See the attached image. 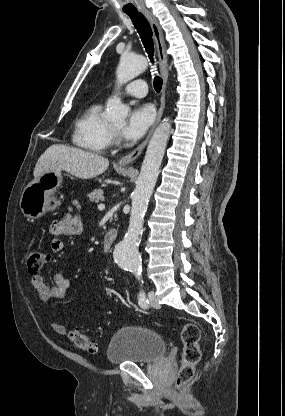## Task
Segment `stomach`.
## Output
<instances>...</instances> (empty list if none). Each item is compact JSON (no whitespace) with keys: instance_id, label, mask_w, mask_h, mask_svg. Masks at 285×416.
Masks as SVG:
<instances>
[{"instance_id":"0dacf381","label":"stomach","mask_w":285,"mask_h":416,"mask_svg":"<svg viewBox=\"0 0 285 416\" xmlns=\"http://www.w3.org/2000/svg\"><path fill=\"white\" fill-rule=\"evenodd\" d=\"M62 178L60 170H49L26 186L19 204L25 218L36 220L46 212H54L61 206V200L56 194L62 184Z\"/></svg>"}]
</instances>
